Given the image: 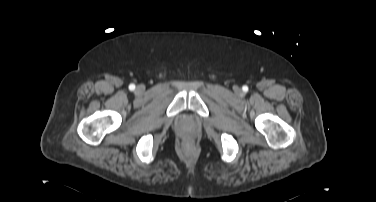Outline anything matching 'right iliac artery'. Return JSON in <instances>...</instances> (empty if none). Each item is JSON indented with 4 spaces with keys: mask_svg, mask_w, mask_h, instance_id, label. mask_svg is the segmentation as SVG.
<instances>
[{
    "mask_svg": "<svg viewBox=\"0 0 376 202\" xmlns=\"http://www.w3.org/2000/svg\"><path fill=\"white\" fill-rule=\"evenodd\" d=\"M129 89L130 90H134L135 89V85L134 84H130Z\"/></svg>",
    "mask_w": 376,
    "mask_h": 202,
    "instance_id": "right-iliac-artery-1",
    "label": "right iliac artery"
}]
</instances>
